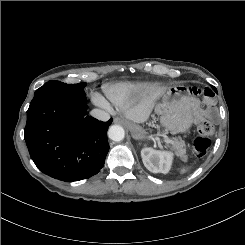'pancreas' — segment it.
<instances>
[{
	"label": "pancreas",
	"instance_id": "obj_1",
	"mask_svg": "<svg viewBox=\"0 0 245 245\" xmlns=\"http://www.w3.org/2000/svg\"><path fill=\"white\" fill-rule=\"evenodd\" d=\"M171 146L172 149L175 151V154L181 158V160H186V150H185V144L182 140L173 139L171 140Z\"/></svg>",
	"mask_w": 245,
	"mask_h": 245
}]
</instances>
